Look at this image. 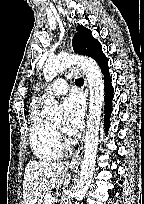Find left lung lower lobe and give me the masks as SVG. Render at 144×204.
<instances>
[{
	"label": "left lung lower lobe",
	"mask_w": 144,
	"mask_h": 204,
	"mask_svg": "<svg viewBox=\"0 0 144 204\" xmlns=\"http://www.w3.org/2000/svg\"><path fill=\"white\" fill-rule=\"evenodd\" d=\"M96 61L101 67V70L104 74V84H105V90H106L104 126H105V131L107 132L110 126L109 119H110V113L112 111L113 87L111 85V78L109 75L107 58L104 56V57L98 58Z\"/></svg>",
	"instance_id": "0a47b994"
}]
</instances>
